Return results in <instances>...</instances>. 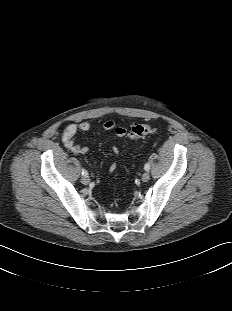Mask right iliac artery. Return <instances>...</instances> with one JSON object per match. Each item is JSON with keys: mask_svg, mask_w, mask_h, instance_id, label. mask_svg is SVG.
<instances>
[{"mask_svg": "<svg viewBox=\"0 0 232 311\" xmlns=\"http://www.w3.org/2000/svg\"><path fill=\"white\" fill-rule=\"evenodd\" d=\"M82 175H83V176H87V175H88V172H87L85 169H83V170H82Z\"/></svg>", "mask_w": 232, "mask_h": 311, "instance_id": "right-iliac-artery-1", "label": "right iliac artery"}]
</instances>
